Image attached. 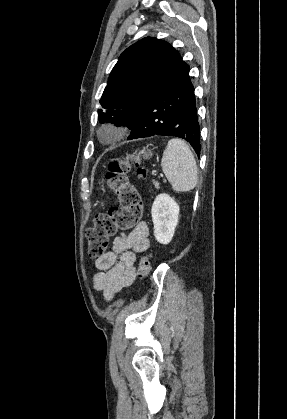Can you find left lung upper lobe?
<instances>
[{"mask_svg": "<svg viewBox=\"0 0 287 419\" xmlns=\"http://www.w3.org/2000/svg\"><path fill=\"white\" fill-rule=\"evenodd\" d=\"M188 67L169 43L146 37L127 48L108 78L99 122L132 129L145 103Z\"/></svg>", "mask_w": 287, "mask_h": 419, "instance_id": "1", "label": "left lung upper lobe"}]
</instances>
